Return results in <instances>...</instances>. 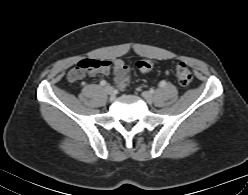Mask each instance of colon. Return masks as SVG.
<instances>
[{"label": "colon", "mask_w": 248, "mask_h": 195, "mask_svg": "<svg viewBox=\"0 0 248 195\" xmlns=\"http://www.w3.org/2000/svg\"><path fill=\"white\" fill-rule=\"evenodd\" d=\"M155 66V62L150 59H143L137 62V68L142 73L151 71ZM93 69L91 59H85L77 63L68 73V79L71 82L81 80L86 74ZM176 78L181 86H187L191 83L193 75L189 67L184 63H179L175 69ZM129 83V76L126 75L119 81V87L125 88Z\"/></svg>", "instance_id": "obj_1"}]
</instances>
